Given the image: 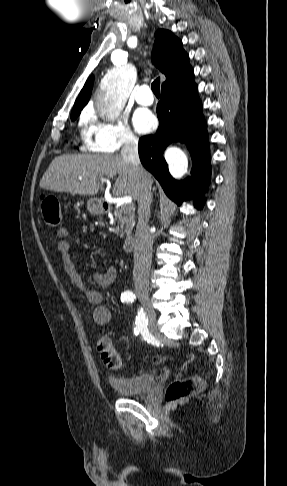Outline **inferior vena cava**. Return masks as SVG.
Segmentation results:
<instances>
[{
	"instance_id": "obj_1",
	"label": "inferior vena cava",
	"mask_w": 287,
	"mask_h": 486,
	"mask_svg": "<svg viewBox=\"0 0 287 486\" xmlns=\"http://www.w3.org/2000/svg\"><path fill=\"white\" fill-rule=\"evenodd\" d=\"M121 156L130 162L139 182L138 223L135 234L133 280L137 290L148 288L152 261L153 235L148 226L152 203L151 186L147 172L142 168L138 154V140L127 135L121 149Z\"/></svg>"
}]
</instances>
